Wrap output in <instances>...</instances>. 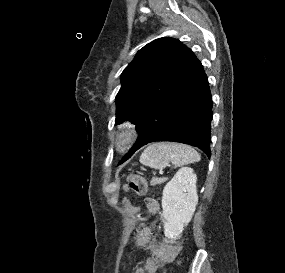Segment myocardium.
Instances as JSON below:
<instances>
[{
	"mask_svg": "<svg viewBox=\"0 0 285 273\" xmlns=\"http://www.w3.org/2000/svg\"><path fill=\"white\" fill-rule=\"evenodd\" d=\"M138 137V129L131 122L123 123L118 127L114 137L113 145L118 152H126L135 143Z\"/></svg>",
	"mask_w": 285,
	"mask_h": 273,
	"instance_id": "obj_1",
	"label": "myocardium"
}]
</instances>
